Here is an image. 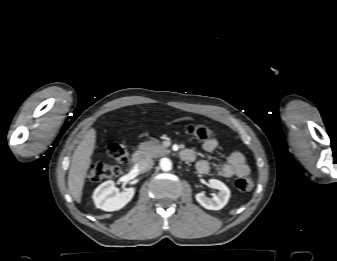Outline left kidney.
Here are the masks:
<instances>
[{
	"label": "left kidney",
	"instance_id": "obj_1",
	"mask_svg": "<svg viewBox=\"0 0 337 261\" xmlns=\"http://www.w3.org/2000/svg\"><path fill=\"white\" fill-rule=\"evenodd\" d=\"M209 186L217 189L218 193L213 195L212 198H208L203 192H200L195 196L197 202L209 210L222 209L228 203L230 198L229 188L223 182L216 179H210Z\"/></svg>",
	"mask_w": 337,
	"mask_h": 261
}]
</instances>
